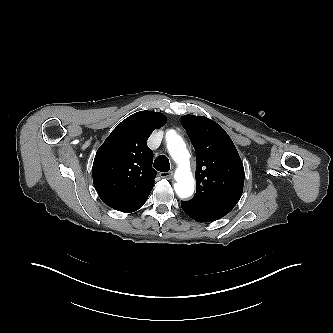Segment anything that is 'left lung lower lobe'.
I'll list each match as a JSON object with an SVG mask.
<instances>
[{"instance_id":"obj_1","label":"left lung lower lobe","mask_w":333,"mask_h":333,"mask_svg":"<svg viewBox=\"0 0 333 333\" xmlns=\"http://www.w3.org/2000/svg\"><path fill=\"white\" fill-rule=\"evenodd\" d=\"M181 207L189 217L198 222H212L223 217L212 210L203 208L189 201H181Z\"/></svg>"}]
</instances>
